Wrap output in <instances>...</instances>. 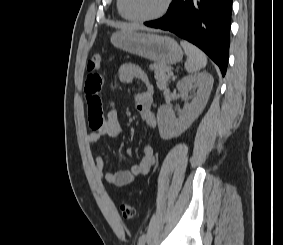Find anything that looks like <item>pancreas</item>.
I'll return each mask as SVG.
<instances>
[{"instance_id": "obj_1", "label": "pancreas", "mask_w": 283, "mask_h": 245, "mask_svg": "<svg viewBox=\"0 0 283 245\" xmlns=\"http://www.w3.org/2000/svg\"><path fill=\"white\" fill-rule=\"evenodd\" d=\"M150 69L155 73L157 87L160 90L166 89L167 83L170 78L168 71L171 70V67L162 63H154L150 65Z\"/></svg>"}]
</instances>
